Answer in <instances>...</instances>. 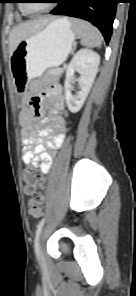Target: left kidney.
Returning <instances> with one entry per match:
<instances>
[{
	"instance_id": "obj_1",
	"label": "left kidney",
	"mask_w": 136,
	"mask_h": 296,
	"mask_svg": "<svg viewBox=\"0 0 136 296\" xmlns=\"http://www.w3.org/2000/svg\"><path fill=\"white\" fill-rule=\"evenodd\" d=\"M99 63L100 57L96 52L80 49L68 65L64 88L66 103L71 113H77L82 108L98 72ZM75 71L81 75L78 79L80 91L77 96H72L71 83L74 82Z\"/></svg>"
}]
</instances>
